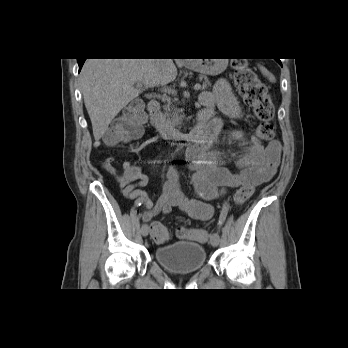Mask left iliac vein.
I'll list each match as a JSON object with an SVG mask.
<instances>
[{"mask_svg": "<svg viewBox=\"0 0 348 348\" xmlns=\"http://www.w3.org/2000/svg\"><path fill=\"white\" fill-rule=\"evenodd\" d=\"M219 241H220L219 234L216 233V232L212 233L211 236H210L211 245H212L213 247H217L218 244H219Z\"/></svg>", "mask_w": 348, "mask_h": 348, "instance_id": "left-iliac-vein-1", "label": "left iliac vein"}]
</instances>
